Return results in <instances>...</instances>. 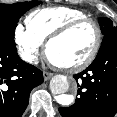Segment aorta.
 Segmentation results:
<instances>
[{
  "label": "aorta",
  "mask_w": 117,
  "mask_h": 117,
  "mask_svg": "<svg viewBox=\"0 0 117 117\" xmlns=\"http://www.w3.org/2000/svg\"><path fill=\"white\" fill-rule=\"evenodd\" d=\"M69 87L70 82L64 75L54 76L50 82L51 91L55 95L56 101L62 106H69L73 103V95L65 94Z\"/></svg>",
  "instance_id": "aorta-1"
}]
</instances>
